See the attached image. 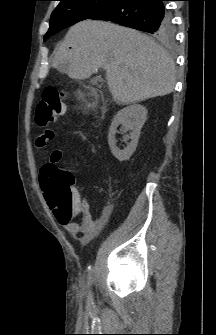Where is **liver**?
<instances>
[{"label":"liver","instance_id":"6515ba94","mask_svg":"<svg viewBox=\"0 0 216 335\" xmlns=\"http://www.w3.org/2000/svg\"><path fill=\"white\" fill-rule=\"evenodd\" d=\"M53 66L65 67L72 79L83 80L99 68L119 105L171 93L175 65L148 36L110 22L85 20L73 25L57 49Z\"/></svg>","mask_w":216,"mask_h":335}]
</instances>
